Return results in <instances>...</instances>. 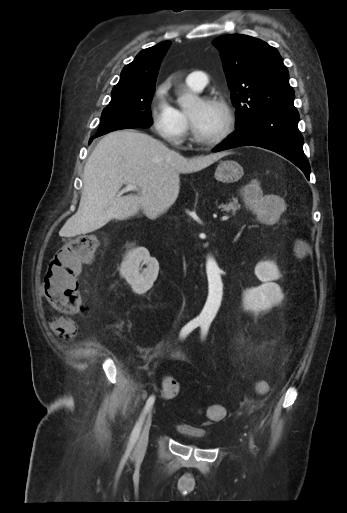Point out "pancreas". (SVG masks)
Here are the masks:
<instances>
[{"mask_svg": "<svg viewBox=\"0 0 347 513\" xmlns=\"http://www.w3.org/2000/svg\"><path fill=\"white\" fill-rule=\"evenodd\" d=\"M218 208L221 209L222 211L227 212L231 216H235L237 211L240 209V204H238L237 198L232 197V199H230L229 203H226V204L222 203L218 206Z\"/></svg>", "mask_w": 347, "mask_h": 513, "instance_id": "1", "label": "pancreas"}]
</instances>
